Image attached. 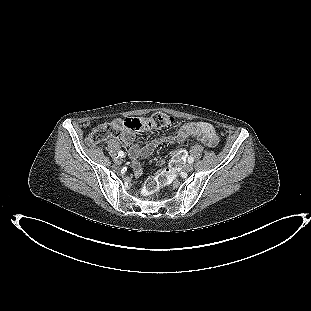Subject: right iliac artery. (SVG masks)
I'll list each match as a JSON object with an SVG mask.
<instances>
[{
    "instance_id": "obj_1",
    "label": "right iliac artery",
    "mask_w": 311,
    "mask_h": 311,
    "mask_svg": "<svg viewBox=\"0 0 311 311\" xmlns=\"http://www.w3.org/2000/svg\"><path fill=\"white\" fill-rule=\"evenodd\" d=\"M119 156L123 157L124 156V152L123 151H119Z\"/></svg>"
}]
</instances>
